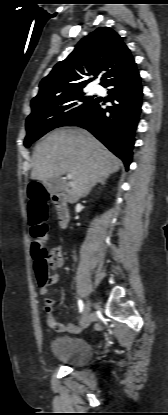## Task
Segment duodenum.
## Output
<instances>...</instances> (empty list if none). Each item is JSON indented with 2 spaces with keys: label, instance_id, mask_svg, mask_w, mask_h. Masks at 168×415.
<instances>
[{
  "label": "duodenum",
  "instance_id": "1",
  "mask_svg": "<svg viewBox=\"0 0 168 415\" xmlns=\"http://www.w3.org/2000/svg\"><path fill=\"white\" fill-rule=\"evenodd\" d=\"M53 202L56 208L59 227L65 229L70 221V212L63 194H55L53 196Z\"/></svg>",
  "mask_w": 168,
  "mask_h": 415
}]
</instances>
